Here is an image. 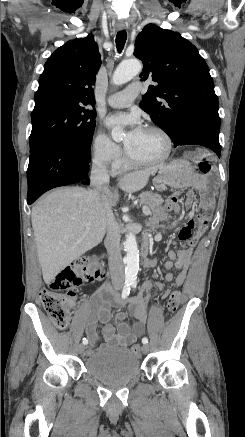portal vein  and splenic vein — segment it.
Listing matches in <instances>:
<instances>
[{"mask_svg":"<svg viewBox=\"0 0 245 437\" xmlns=\"http://www.w3.org/2000/svg\"><path fill=\"white\" fill-rule=\"evenodd\" d=\"M143 213H144L145 215H149V214H150V209H149L147 206H144V207H143ZM85 226H86V227L90 226V223H86Z\"/></svg>","mask_w":245,"mask_h":437,"instance_id":"1","label":"portal vein and splenic vein"}]
</instances>
